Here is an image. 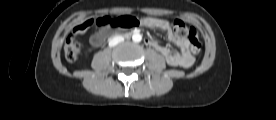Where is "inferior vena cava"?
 <instances>
[{
  "label": "inferior vena cava",
  "mask_w": 276,
  "mask_h": 120,
  "mask_svg": "<svg viewBox=\"0 0 276 120\" xmlns=\"http://www.w3.org/2000/svg\"><path fill=\"white\" fill-rule=\"evenodd\" d=\"M124 38L121 37V36H117L115 38H113L110 42H109V45L110 46H115L116 44H118L119 42L123 41Z\"/></svg>",
  "instance_id": "inferior-vena-cava-1"
}]
</instances>
